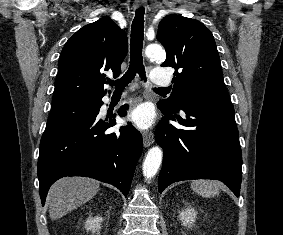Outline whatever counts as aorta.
Wrapping results in <instances>:
<instances>
[{
	"instance_id": "aorta-1",
	"label": "aorta",
	"mask_w": 283,
	"mask_h": 235,
	"mask_svg": "<svg viewBox=\"0 0 283 235\" xmlns=\"http://www.w3.org/2000/svg\"><path fill=\"white\" fill-rule=\"evenodd\" d=\"M145 54L149 59L162 61L165 59V51L158 44H151L146 47ZM163 152L159 146L152 147L143 162V175L146 180L153 178L161 165Z\"/></svg>"
}]
</instances>
